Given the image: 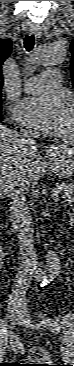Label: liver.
I'll list each match as a JSON object with an SVG mask.
<instances>
[{
    "instance_id": "obj_1",
    "label": "liver",
    "mask_w": 74,
    "mask_h": 366,
    "mask_svg": "<svg viewBox=\"0 0 74 366\" xmlns=\"http://www.w3.org/2000/svg\"><path fill=\"white\" fill-rule=\"evenodd\" d=\"M44 162L37 149L20 144V134L0 126V193L10 196L14 182L35 186L44 172Z\"/></svg>"
}]
</instances>
